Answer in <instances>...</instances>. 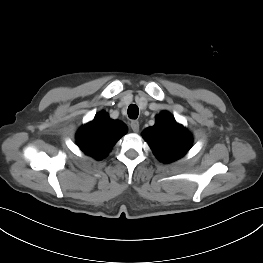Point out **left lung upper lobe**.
I'll list each match as a JSON object with an SVG mask.
<instances>
[{"mask_svg":"<svg viewBox=\"0 0 263 263\" xmlns=\"http://www.w3.org/2000/svg\"><path fill=\"white\" fill-rule=\"evenodd\" d=\"M143 137L163 163L181 158L192 144L191 134L167 111L157 116L154 126L143 131Z\"/></svg>","mask_w":263,"mask_h":263,"instance_id":"left-lung-upper-lobe-1","label":"left lung upper lobe"}]
</instances>
